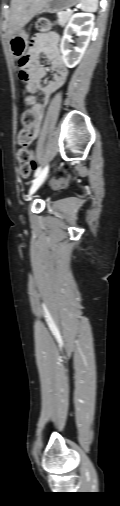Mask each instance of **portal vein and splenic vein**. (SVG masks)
Segmentation results:
<instances>
[{"mask_svg":"<svg viewBox=\"0 0 120 506\" xmlns=\"http://www.w3.org/2000/svg\"><path fill=\"white\" fill-rule=\"evenodd\" d=\"M68 12H69V13H72V11H71V10H70V11H68Z\"/></svg>","mask_w":120,"mask_h":506,"instance_id":"18ae733b","label":"portal vein and splenic vein"}]
</instances>
